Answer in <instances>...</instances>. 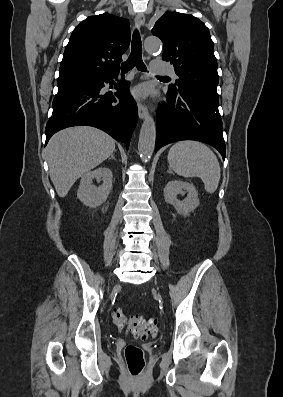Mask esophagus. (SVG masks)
Returning <instances> with one entry per match:
<instances>
[{
  "label": "esophagus",
  "instance_id": "34e87169",
  "mask_svg": "<svg viewBox=\"0 0 283 397\" xmlns=\"http://www.w3.org/2000/svg\"><path fill=\"white\" fill-rule=\"evenodd\" d=\"M135 24L137 28H141L145 24V17L142 13H138L135 16ZM137 108H138V115L140 119H144L148 115V109L146 106H144L141 102H137Z\"/></svg>",
  "mask_w": 283,
  "mask_h": 397
}]
</instances>
